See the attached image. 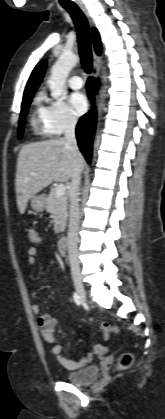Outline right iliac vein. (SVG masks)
<instances>
[{
  "instance_id": "right-iliac-vein-1",
  "label": "right iliac vein",
  "mask_w": 165,
  "mask_h": 419,
  "mask_svg": "<svg viewBox=\"0 0 165 419\" xmlns=\"http://www.w3.org/2000/svg\"><path fill=\"white\" fill-rule=\"evenodd\" d=\"M74 286H75V289H76L77 293L79 294V296L83 300H85L86 299V291H85V288H84V285H83L81 279H78V278L74 279Z\"/></svg>"
}]
</instances>
